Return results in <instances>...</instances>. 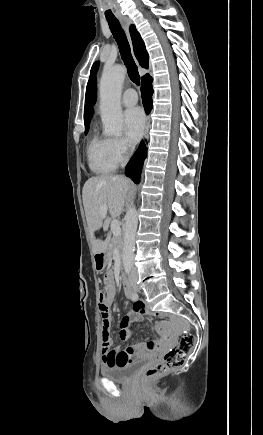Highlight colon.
Returning <instances> with one entry per match:
<instances>
[{
	"mask_svg": "<svg viewBox=\"0 0 263 435\" xmlns=\"http://www.w3.org/2000/svg\"><path fill=\"white\" fill-rule=\"evenodd\" d=\"M104 293L99 295V303L103 301ZM115 335H113L112 328H103L100 348L101 350H114L115 348ZM194 345V337L189 333V330H184L180 335L178 344L168 350L161 361L149 367L141 377L142 382L150 383L169 371L180 367L187 359L188 353Z\"/></svg>",
	"mask_w": 263,
	"mask_h": 435,
	"instance_id": "colon-1",
	"label": "colon"
}]
</instances>
